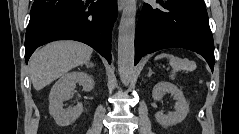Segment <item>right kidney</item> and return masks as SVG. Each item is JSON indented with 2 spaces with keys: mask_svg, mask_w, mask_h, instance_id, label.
<instances>
[{
  "mask_svg": "<svg viewBox=\"0 0 239 134\" xmlns=\"http://www.w3.org/2000/svg\"><path fill=\"white\" fill-rule=\"evenodd\" d=\"M76 83L83 86L85 92L94 87L93 78L85 72L73 71L66 73L54 84L49 95V112L60 126H68L73 123L83 112L82 104L69 109L63 108V102L70 97Z\"/></svg>",
  "mask_w": 239,
  "mask_h": 134,
  "instance_id": "right-kidney-1",
  "label": "right kidney"
}]
</instances>
